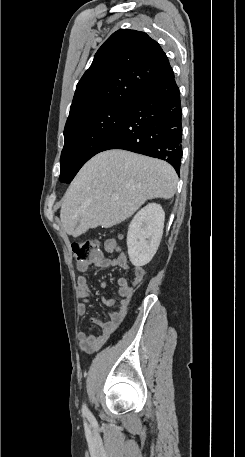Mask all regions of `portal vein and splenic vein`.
<instances>
[{
    "label": "portal vein and splenic vein",
    "mask_w": 245,
    "mask_h": 457,
    "mask_svg": "<svg viewBox=\"0 0 245 457\" xmlns=\"http://www.w3.org/2000/svg\"><path fill=\"white\" fill-rule=\"evenodd\" d=\"M113 200H117V196H112Z\"/></svg>",
    "instance_id": "portal-vein-and-splenic-vein-1"
}]
</instances>
